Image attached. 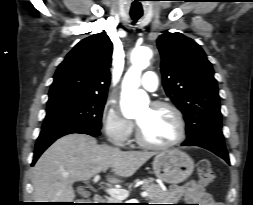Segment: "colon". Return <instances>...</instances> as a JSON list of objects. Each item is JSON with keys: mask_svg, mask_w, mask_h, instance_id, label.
<instances>
[{"mask_svg": "<svg viewBox=\"0 0 253 205\" xmlns=\"http://www.w3.org/2000/svg\"><path fill=\"white\" fill-rule=\"evenodd\" d=\"M198 182L201 186H208L215 182L216 174L212 168V164L209 160L203 159L199 161L197 166ZM79 205H88L85 202L79 203Z\"/></svg>", "mask_w": 253, "mask_h": 205, "instance_id": "obj_1", "label": "colon"}]
</instances>
